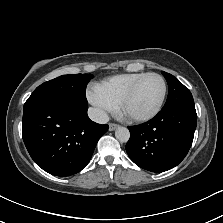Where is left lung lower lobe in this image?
I'll return each instance as SVG.
<instances>
[{"label": "left lung lower lobe", "mask_w": 223, "mask_h": 223, "mask_svg": "<svg viewBox=\"0 0 223 223\" xmlns=\"http://www.w3.org/2000/svg\"><path fill=\"white\" fill-rule=\"evenodd\" d=\"M197 124L195 107L162 109L153 119L129 126L126 151L139 167L164 172L177 166L187 155Z\"/></svg>", "instance_id": "0a47b994"}]
</instances>
